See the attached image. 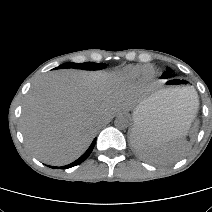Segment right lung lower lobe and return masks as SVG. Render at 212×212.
<instances>
[{
  "mask_svg": "<svg viewBox=\"0 0 212 212\" xmlns=\"http://www.w3.org/2000/svg\"><path fill=\"white\" fill-rule=\"evenodd\" d=\"M95 142H96V139L93 140V142L90 145V147L88 148V150L79 159H77L76 161H74L73 163H71L69 165L62 166L61 168L62 169H67V168L76 166V165L82 163L84 160H86L88 158V156L90 155V153L92 152V150L94 148V145H95ZM52 168H54V167H52Z\"/></svg>",
  "mask_w": 212,
  "mask_h": 212,
  "instance_id": "obj_1",
  "label": "right lung lower lobe"
}]
</instances>
